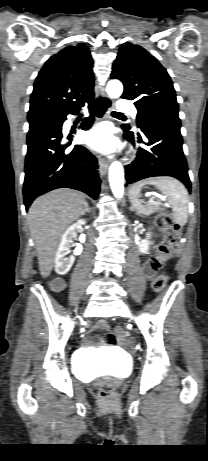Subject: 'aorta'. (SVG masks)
<instances>
[{"label":"aorta","instance_id":"762f6f07","mask_svg":"<svg viewBox=\"0 0 208 461\" xmlns=\"http://www.w3.org/2000/svg\"><path fill=\"white\" fill-rule=\"evenodd\" d=\"M107 94L112 99L122 95L123 85L119 80H110L106 88ZM109 183L113 195L120 199L124 194V170L121 162L114 161L109 167Z\"/></svg>","mask_w":208,"mask_h":461}]
</instances>
